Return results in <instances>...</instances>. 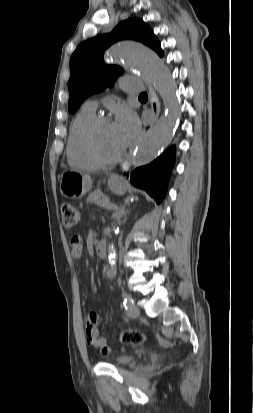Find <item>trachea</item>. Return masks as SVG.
<instances>
[{
    "instance_id": "3493384b",
    "label": "trachea",
    "mask_w": 253,
    "mask_h": 413,
    "mask_svg": "<svg viewBox=\"0 0 253 413\" xmlns=\"http://www.w3.org/2000/svg\"><path fill=\"white\" fill-rule=\"evenodd\" d=\"M139 97H147V94H146V93H141V94L139 95Z\"/></svg>"
}]
</instances>
